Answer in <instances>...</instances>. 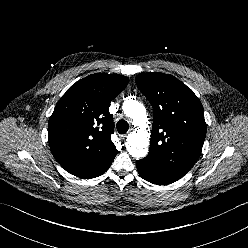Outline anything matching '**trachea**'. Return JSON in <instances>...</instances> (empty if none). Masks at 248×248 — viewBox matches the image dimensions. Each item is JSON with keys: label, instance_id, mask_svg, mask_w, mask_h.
I'll return each instance as SVG.
<instances>
[{"label": "trachea", "instance_id": "obj_1", "mask_svg": "<svg viewBox=\"0 0 248 248\" xmlns=\"http://www.w3.org/2000/svg\"><path fill=\"white\" fill-rule=\"evenodd\" d=\"M129 129V124L125 120H119L117 122V131L119 134H124L128 131Z\"/></svg>", "mask_w": 248, "mask_h": 248}]
</instances>
